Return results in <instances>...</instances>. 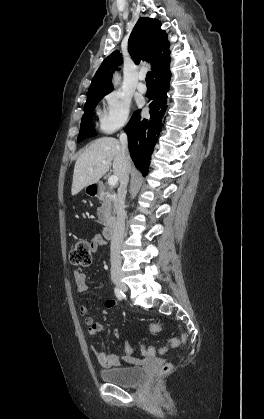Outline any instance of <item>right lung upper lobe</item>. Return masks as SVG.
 Wrapping results in <instances>:
<instances>
[{
	"label": "right lung upper lobe",
	"instance_id": "right-lung-upper-lobe-1",
	"mask_svg": "<svg viewBox=\"0 0 264 419\" xmlns=\"http://www.w3.org/2000/svg\"><path fill=\"white\" fill-rule=\"evenodd\" d=\"M159 20L148 17L140 18L129 37L128 51L138 64L140 60L151 62L153 78L169 71V43L167 34L160 28ZM122 63V54L114 51L101 64L97 70L87 99L96 95L108 94L113 90L111 83L112 72Z\"/></svg>",
	"mask_w": 264,
	"mask_h": 419
}]
</instances>
